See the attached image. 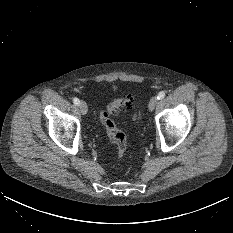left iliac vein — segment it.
Here are the masks:
<instances>
[{
    "label": "left iliac vein",
    "mask_w": 233,
    "mask_h": 233,
    "mask_svg": "<svg viewBox=\"0 0 233 233\" xmlns=\"http://www.w3.org/2000/svg\"><path fill=\"white\" fill-rule=\"evenodd\" d=\"M157 103H158L157 97L153 96L149 101V105H148L149 111H153L155 109Z\"/></svg>",
    "instance_id": "obj_1"
}]
</instances>
